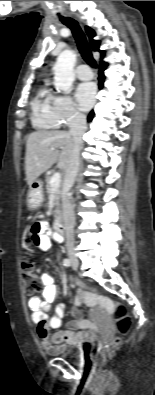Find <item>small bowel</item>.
Here are the masks:
<instances>
[{"instance_id": "1", "label": "small bowel", "mask_w": 155, "mask_h": 395, "mask_svg": "<svg viewBox=\"0 0 155 395\" xmlns=\"http://www.w3.org/2000/svg\"><path fill=\"white\" fill-rule=\"evenodd\" d=\"M51 236L48 233V222L46 220L35 223L30 231V240L40 251H48L51 248ZM56 241H61L60 237H54ZM40 273V280L43 284V299L33 296L28 301V306L32 311L31 321L36 327V333L43 348L54 353L61 343L78 345L88 342L95 336L96 325L88 319L81 317L78 310L72 311V319L67 324L66 330H59L54 335H50V330H58L62 324V318L65 314V305L59 304L54 313L47 314L50 304L56 298V286L53 277L48 273ZM85 303L91 307L97 308L95 313L103 316L104 312L113 310V303L110 299L84 291H79L76 304ZM103 318V317H102Z\"/></svg>"}]
</instances>
